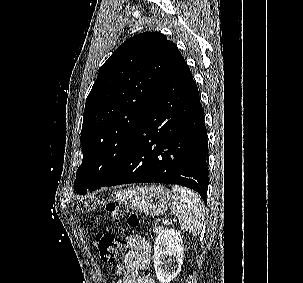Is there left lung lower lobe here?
<instances>
[{
  "label": "left lung lower lobe",
  "instance_id": "obj_1",
  "mask_svg": "<svg viewBox=\"0 0 303 283\" xmlns=\"http://www.w3.org/2000/svg\"><path fill=\"white\" fill-rule=\"evenodd\" d=\"M207 152L198 88L179 54L154 95L121 165L100 187L139 182L178 184L197 191L206 203Z\"/></svg>",
  "mask_w": 303,
  "mask_h": 283
}]
</instances>
